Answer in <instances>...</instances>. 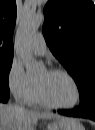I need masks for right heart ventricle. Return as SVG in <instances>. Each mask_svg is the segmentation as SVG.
<instances>
[{
	"instance_id": "1",
	"label": "right heart ventricle",
	"mask_w": 95,
	"mask_h": 130,
	"mask_svg": "<svg viewBox=\"0 0 95 130\" xmlns=\"http://www.w3.org/2000/svg\"><path fill=\"white\" fill-rule=\"evenodd\" d=\"M32 105L35 106H44V104L41 102V100L39 99L38 93H37V89L34 91L31 100L29 101Z\"/></svg>"
}]
</instances>
